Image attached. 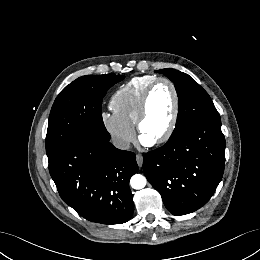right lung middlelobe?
<instances>
[{
    "mask_svg": "<svg viewBox=\"0 0 260 260\" xmlns=\"http://www.w3.org/2000/svg\"><path fill=\"white\" fill-rule=\"evenodd\" d=\"M122 75H87L67 85L57 96L49 116L46 136L48 160L65 146L82 138L109 141L102 115V98Z\"/></svg>",
    "mask_w": 260,
    "mask_h": 260,
    "instance_id": "1",
    "label": "right lung middle lobe"
}]
</instances>
